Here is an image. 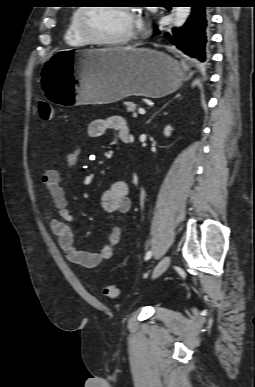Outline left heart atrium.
<instances>
[{
  "mask_svg": "<svg viewBox=\"0 0 255 387\" xmlns=\"http://www.w3.org/2000/svg\"><path fill=\"white\" fill-rule=\"evenodd\" d=\"M141 22L139 20H135V29H139L141 27Z\"/></svg>",
  "mask_w": 255,
  "mask_h": 387,
  "instance_id": "39dd6f15",
  "label": "left heart atrium"
}]
</instances>
